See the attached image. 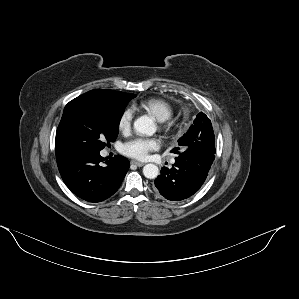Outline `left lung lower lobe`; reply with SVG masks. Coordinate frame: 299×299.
Wrapping results in <instances>:
<instances>
[{
  "instance_id": "0a47b994",
  "label": "left lung lower lobe",
  "mask_w": 299,
  "mask_h": 299,
  "mask_svg": "<svg viewBox=\"0 0 299 299\" xmlns=\"http://www.w3.org/2000/svg\"><path fill=\"white\" fill-rule=\"evenodd\" d=\"M210 167L200 159L178 155L171 169L162 168L154 182L155 190L171 201L189 198L200 189Z\"/></svg>"
}]
</instances>
